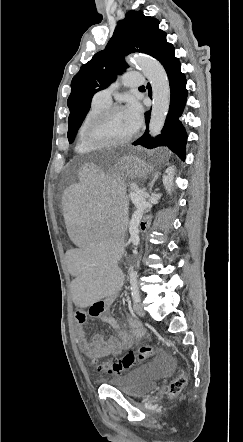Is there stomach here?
Returning a JSON list of instances; mask_svg holds the SVG:
<instances>
[{"label":"stomach","mask_w":243,"mask_h":442,"mask_svg":"<svg viewBox=\"0 0 243 442\" xmlns=\"http://www.w3.org/2000/svg\"><path fill=\"white\" fill-rule=\"evenodd\" d=\"M114 165H128L130 167V172L133 171L135 165H145L139 158L135 156H124L120 158ZM128 174H111V175H130Z\"/></svg>","instance_id":"1"}]
</instances>
